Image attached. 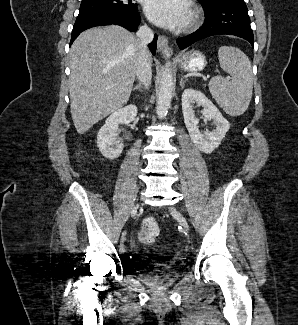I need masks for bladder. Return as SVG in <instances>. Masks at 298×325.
<instances>
[{"label":"bladder","mask_w":298,"mask_h":325,"mask_svg":"<svg viewBox=\"0 0 298 325\" xmlns=\"http://www.w3.org/2000/svg\"><path fill=\"white\" fill-rule=\"evenodd\" d=\"M177 270H166L163 272L148 274L141 277V280L153 290H164L173 285L179 279Z\"/></svg>","instance_id":"1"}]
</instances>
